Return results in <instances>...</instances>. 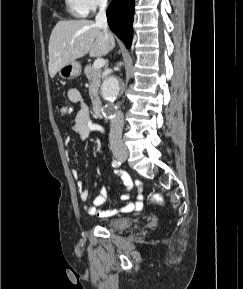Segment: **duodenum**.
Here are the masks:
<instances>
[{
  "mask_svg": "<svg viewBox=\"0 0 243 289\" xmlns=\"http://www.w3.org/2000/svg\"><path fill=\"white\" fill-rule=\"evenodd\" d=\"M93 112L96 117L102 118L104 116L103 105L100 100H95L93 103Z\"/></svg>",
  "mask_w": 243,
  "mask_h": 289,
  "instance_id": "1",
  "label": "duodenum"
}]
</instances>
